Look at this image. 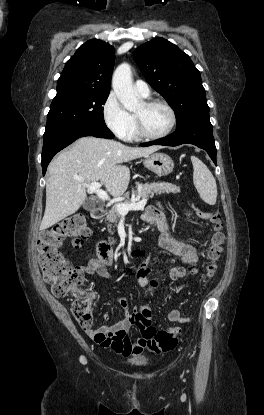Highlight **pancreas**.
<instances>
[{"label":"pancreas","instance_id":"cf45deb5","mask_svg":"<svg viewBox=\"0 0 264 415\" xmlns=\"http://www.w3.org/2000/svg\"><path fill=\"white\" fill-rule=\"evenodd\" d=\"M180 188L178 186H175L174 184L168 183V182H153V183H146L141 185L137 188L136 191H132L131 199L127 195V199L122 202L124 204L131 203L133 197H141V198H153L154 195H161L164 193H179ZM120 204V203H119ZM116 205H114L111 210H109L106 221L109 223H117L120 214L117 212ZM112 243H115V240H112Z\"/></svg>","mask_w":264,"mask_h":415}]
</instances>
